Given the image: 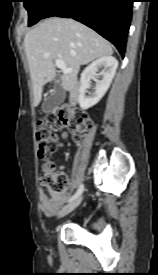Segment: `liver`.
Here are the masks:
<instances>
[{"label": "liver", "instance_id": "liver-1", "mask_svg": "<svg viewBox=\"0 0 158 275\" xmlns=\"http://www.w3.org/2000/svg\"><path fill=\"white\" fill-rule=\"evenodd\" d=\"M25 53L33 83V103L38 106L43 86L56 75L54 62L64 61L71 72L61 76L65 90H73L81 65L113 54L103 37L73 19L51 17L32 28L24 38Z\"/></svg>", "mask_w": 158, "mask_h": 275}]
</instances>
